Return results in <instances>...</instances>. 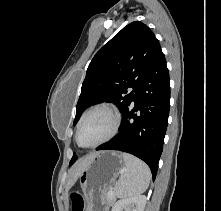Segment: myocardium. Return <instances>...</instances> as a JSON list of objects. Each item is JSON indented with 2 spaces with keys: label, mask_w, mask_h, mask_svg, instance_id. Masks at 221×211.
<instances>
[{
  "label": "myocardium",
  "mask_w": 221,
  "mask_h": 211,
  "mask_svg": "<svg viewBox=\"0 0 221 211\" xmlns=\"http://www.w3.org/2000/svg\"><path fill=\"white\" fill-rule=\"evenodd\" d=\"M96 111H104L107 112L111 117H112V127L109 131V133L102 138L101 140H99L98 142L91 144V145H82L79 141V132H80V128L85 120V118L90 115L93 112ZM120 124H121V116L120 113L112 106L108 105V104H97L92 106L91 108H89L88 110H86L83 115L81 116L77 128H76V133H75V140L77 142V144L80 147L83 148H95L98 147L108 141H110L112 138H114L116 136V134L118 133V130L120 128Z\"/></svg>",
  "instance_id": "obj_1"
}]
</instances>
